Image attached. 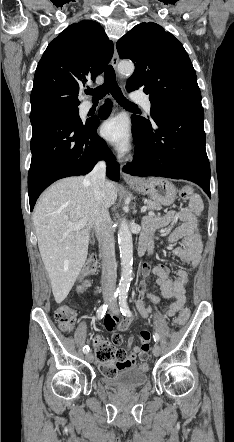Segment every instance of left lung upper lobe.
I'll return each mask as SVG.
<instances>
[{"mask_svg":"<svg viewBox=\"0 0 234 442\" xmlns=\"http://www.w3.org/2000/svg\"><path fill=\"white\" fill-rule=\"evenodd\" d=\"M121 59H131L135 71L126 89L142 88L149 95L151 116L176 104H201V93L191 60L183 45L160 25L148 22L133 27L117 42ZM139 125L149 120L134 116ZM134 125L132 127L136 128Z\"/></svg>","mask_w":234,"mask_h":442,"instance_id":"left-lung-upper-lobe-1","label":"left lung upper lobe"}]
</instances>
